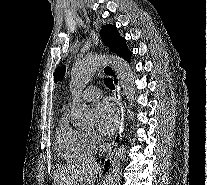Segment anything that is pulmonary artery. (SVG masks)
<instances>
[{
  "instance_id": "1",
  "label": "pulmonary artery",
  "mask_w": 207,
  "mask_h": 185,
  "mask_svg": "<svg viewBox=\"0 0 207 185\" xmlns=\"http://www.w3.org/2000/svg\"><path fill=\"white\" fill-rule=\"evenodd\" d=\"M102 96V92L100 89L95 87H89L86 89V93H83L82 97L84 100L92 101L100 98Z\"/></svg>"
}]
</instances>
